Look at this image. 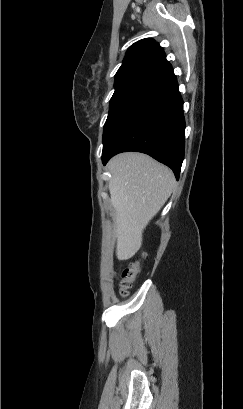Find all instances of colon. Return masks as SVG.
Returning a JSON list of instances; mask_svg holds the SVG:
<instances>
[{"mask_svg":"<svg viewBox=\"0 0 243 409\" xmlns=\"http://www.w3.org/2000/svg\"><path fill=\"white\" fill-rule=\"evenodd\" d=\"M141 269V262L139 260L129 262L120 273L119 279V293L121 296H126L129 289L134 283L139 271Z\"/></svg>","mask_w":243,"mask_h":409,"instance_id":"1","label":"colon"}]
</instances>
